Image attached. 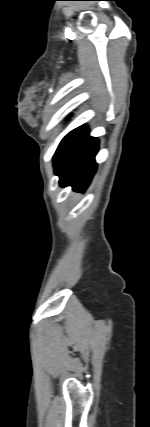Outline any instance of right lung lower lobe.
I'll use <instances>...</instances> for the list:
<instances>
[{
  "label": "right lung lower lobe",
  "instance_id": "98d812e1",
  "mask_svg": "<svg viewBox=\"0 0 150 427\" xmlns=\"http://www.w3.org/2000/svg\"><path fill=\"white\" fill-rule=\"evenodd\" d=\"M98 144L97 138L88 135L86 126L71 131L62 140L53 159L60 186L70 185L77 192L86 189L96 170Z\"/></svg>",
  "mask_w": 150,
  "mask_h": 427
}]
</instances>
